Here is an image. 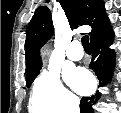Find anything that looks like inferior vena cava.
<instances>
[{
  "label": "inferior vena cava",
  "instance_id": "inferior-vena-cava-1",
  "mask_svg": "<svg viewBox=\"0 0 121 113\" xmlns=\"http://www.w3.org/2000/svg\"><path fill=\"white\" fill-rule=\"evenodd\" d=\"M70 113H79V101H75L70 106Z\"/></svg>",
  "mask_w": 121,
  "mask_h": 113
}]
</instances>
